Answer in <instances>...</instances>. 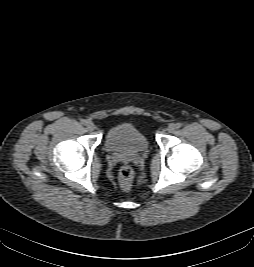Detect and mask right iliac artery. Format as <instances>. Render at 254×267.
<instances>
[{
  "instance_id": "82829eb1",
  "label": "right iliac artery",
  "mask_w": 254,
  "mask_h": 267,
  "mask_svg": "<svg viewBox=\"0 0 254 267\" xmlns=\"http://www.w3.org/2000/svg\"><path fill=\"white\" fill-rule=\"evenodd\" d=\"M86 122H87V121H86V120H84V119H83V120H81V124H83V125H86Z\"/></svg>"
}]
</instances>
